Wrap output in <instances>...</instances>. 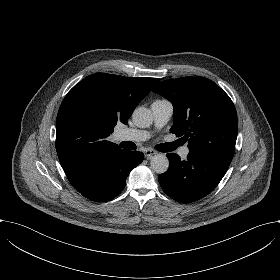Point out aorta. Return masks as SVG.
Here are the masks:
<instances>
[{
	"label": "aorta",
	"mask_w": 280,
	"mask_h": 280,
	"mask_svg": "<svg viewBox=\"0 0 280 280\" xmlns=\"http://www.w3.org/2000/svg\"><path fill=\"white\" fill-rule=\"evenodd\" d=\"M132 120L137 127L147 128L153 123V115L150 109L139 107L134 110ZM150 166L154 172L162 174L168 170L169 160L164 154H157L151 158Z\"/></svg>",
	"instance_id": "obj_1"
}]
</instances>
